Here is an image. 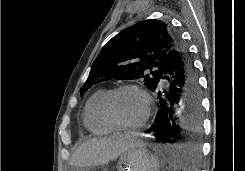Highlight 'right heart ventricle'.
Returning a JSON list of instances; mask_svg holds the SVG:
<instances>
[{
    "instance_id": "right-heart-ventricle-1",
    "label": "right heart ventricle",
    "mask_w": 245,
    "mask_h": 171,
    "mask_svg": "<svg viewBox=\"0 0 245 171\" xmlns=\"http://www.w3.org/2000/svg\"><path fill=\"white\" fill-rule=\"evenodd\" d=\"M106 92V89L97 90L85 105L83 122L87 130L94 134H108L115 129L105 120L101 112V101Z\"/></svg>"
}]
</instances>
